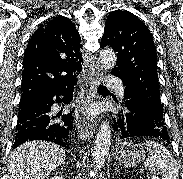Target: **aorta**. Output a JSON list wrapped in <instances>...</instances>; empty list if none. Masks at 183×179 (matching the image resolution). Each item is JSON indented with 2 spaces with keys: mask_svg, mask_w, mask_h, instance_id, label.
Here are the masks:
<instances>
[{
  "mask_svg": "<svg viewBox=\"0 0 183 179\" xmlns=\"http://www.w3.org/2000/svg\"><path fill=\"white\" fill-rule=\"evenodd\" d=\"M99 60L106 69H111L116 65L117 57L112 49H102L100 51ZM111 145V130L109 122H103L96 136L93 151V166L100 169L106 161Z\"/></svg>",
  "mask_w": 183,
  "mask_h": 179,
  "instance_id": "1",
  "label": "aorta"
}]
</instances>
